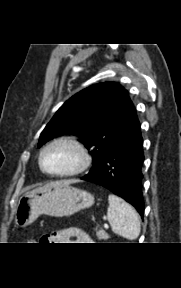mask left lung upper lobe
<instances>
[{"label": "left lung upper lobe", "mask_w": 181, "mask_h": 288, "mask_svg": "<svg viewBox=\"0 0 181 288\" xmlns=\"http://www.w3.org/2000/svg\"><path fill=\"white\" fill-rule=\"evenodd\" d=\"M132 105L119 83L85 88L59 108L42 131L38 147L55 136L77 135L93 158L91 172L122 133Z\"/></svg>", "instance_id": "left-lung-upper-lobe-1"}]
</instances>
